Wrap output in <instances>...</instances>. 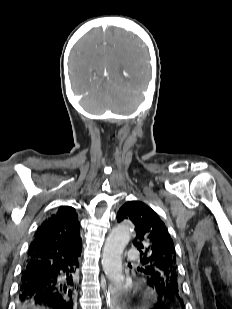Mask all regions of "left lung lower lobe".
Instances as JSON below:
<instances>
[{
  "instance_id": "0a47b994",
  "label": "left lung lower lobe",
  "mask_w": 232,
  "mask_h": 309,
  "mask_svg": "<svg viewBox=\"0 0 232 309\" xmlns=\"http://www.w3.org/2000/svg\"><path fill=\"white\" fill-rule=\"evenodd\" d=\"M170 303L164 301L160 296L158 297V301L154 304L152 309H170ZM182 308L184 307V304L181 305Z\"/></svg>"
}]
</instances>
